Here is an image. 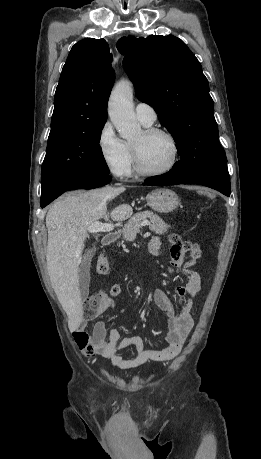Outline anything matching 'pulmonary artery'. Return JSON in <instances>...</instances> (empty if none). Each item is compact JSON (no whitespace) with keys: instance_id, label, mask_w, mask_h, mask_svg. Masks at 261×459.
Wrapping results in <instances>:
<instances>
[{"instance_id":"obj_1","label":"pulmonary artery","mask_w":261,"mask_h":459,"mask_svg":"<svg viewBox=\"0 0 261 459\" xmlns=\"http://www.w3.org/2000/svg\"><path fill=\"white\" fill-rule=\"evenodd\" d=\"M135 113L137 119L145 125H151L155 122L157 115L153 107L150 105L140 102L135 107Z\"/></svg>"}]
</instances>
